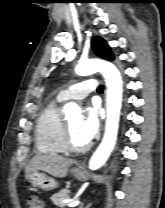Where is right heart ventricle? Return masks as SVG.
<instances>
[{"label":"right heart ventricle","instance_id":"e07e8e85","mask_svg":"<svg viewBox=\"0 0 165 208\" xmlns=\"http://www.w3.org/2000/svg\"><path fill=\"white\" fill-rule=\"evenodd\" d=\"M63 126L59 100H52L44 107L36 121L35 142L40 153H66L62 144Z\"/></svg>","mask_w":165,"mask_h":208}]
</instances>
